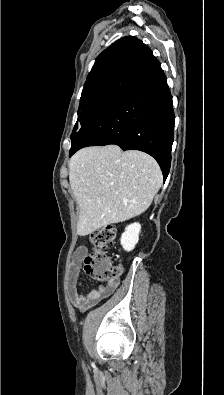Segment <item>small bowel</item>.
I'll use <instances>...</instances> for the list:
<instances>
[{"label":"small bowel","mask_w":224,"mask_h":395,"mask_svg":"<svg viewBox=\"0 0 224 395\" xmlns=\"http://www.w3.org/2000/svg\"><path fill=\"white\" fill-rule=\"evenodd\" d=\"M87 251L88 249L84 245L76 250L68 274V293L70 299L72 304L82 311L95 306L101 299L110 296L119 284V280L116 279L113 282L94 288L88 293L78 292V289L82 287L80 281L81 264Z\"/></svg>","instance_id":"obj_1"}]
</instances>
